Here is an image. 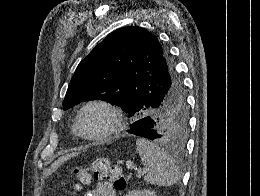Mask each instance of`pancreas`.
<instances>
[{
  "label": "pancreas",
  "instance_id": "1",
  "mask_svg": "<svg viewBox=\"0 0 260 196\" xmlns=\"http://www.w3.org/2000/svg\"><path fill=\"white\" fill-rule=\"evenodd\" d=\"M126 180H127V182H128V180H129V176H128V178H126Z\"/></svg>",
  "mask_w": 260,
  "mask_h": 196
}]
</instances>
